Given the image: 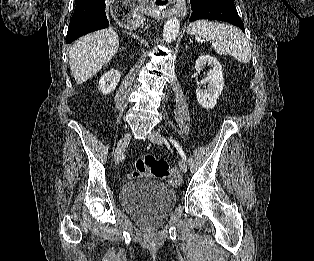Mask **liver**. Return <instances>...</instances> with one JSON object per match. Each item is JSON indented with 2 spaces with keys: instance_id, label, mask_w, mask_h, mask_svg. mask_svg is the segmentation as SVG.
<instances>
[{
  "instance_id": "1",
  "label": "liver",
  "mask_w": 314,
  "mask_h": 261,
  "mask_svg": "<svg viewBox=\"0 0 314 261\" xmlns=\"http://www.w3.org/2000/svg\"><path fill=\"white\" fill-rule=\"evenodd\" d=\"M119 37L109 28L77 39L70 49L69 64L77 83L96 75L117 53Z\"/></svg>"
}]
</instances>
